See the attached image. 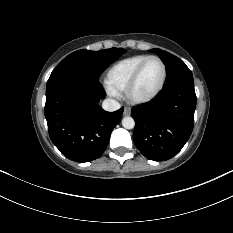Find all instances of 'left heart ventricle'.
Here are the masks:
<instances>
[{
  "label": "left heart ventricle",
  "mask_w": 233,
  "mask_h": 233,
  "mask_svg": "<svg viewBox=\"0 0 233 233\" xmlns=\"http://www.w3.org/2000/svg\"><path fill=\"white\" fill-rule=\"evenodd\" d=\"M163 75V68L158 60H150L144 67L135 86L134 95L144 97L153 93L159 86Z\"/></svg>",
  "instance_id": "1"
}]
</instances>
